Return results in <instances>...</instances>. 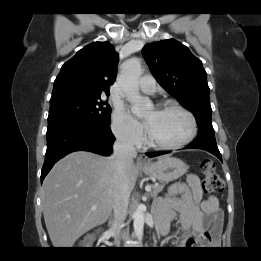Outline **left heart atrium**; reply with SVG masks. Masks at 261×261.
I'll use <instances>...</instances> for the list:
<instances>
[{
	"mask_svg": "<svg viewBox=\"0 0 261 261\" xmlns=\"http://www.w3.org/2000/svg\"><path fill=\"white\" fill-rule=\"evenodd\" d=\"M151 124H152V119H147L145 122L147 129H149L151 127Z\"/></svg>",
	"mask_w": 261,
	"mask_h": 261,
	"instance_id": "1",
	"label": "left heart atrium"
}]
</instances>
